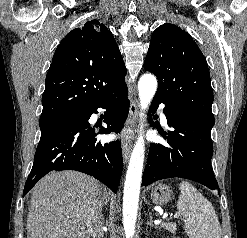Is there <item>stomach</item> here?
<instances>
[{
	"mask_svg": "<svg viewBox=\"0 0 247 238\" xmlns=\"http://www.w3.org/2000/svg\"><path fill=\"white\" fill-rule=\"evenodd\" d=\"M150 196L154 204L164 205L170 201L172 190L165 184H158L151 189Z\"/></svg>",
	"mask_w": 247,
	"mask_h": 238,
	"instance_id": "obj_1",
	"label": "stomach"
}]
</instances>
